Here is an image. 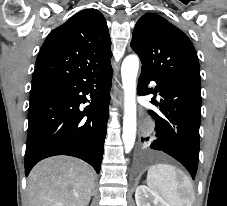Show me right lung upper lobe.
<instances>
[{"instance_id": "1", "label": "right lung upper lobe", "mask_w": 227, "mask_h": 206, "mask_svg": "<svg viewBox=\"0 0 227 206\" xmlns=\"http://www.w3.org/2000/svg\"><path fill=\"white\" fill-rule=\"evenodd\" d=\"M111 40L104 16L85 9L53 29L36 59L32 84L56 82L110 64Z\"/></svg>"}]
</instances>
